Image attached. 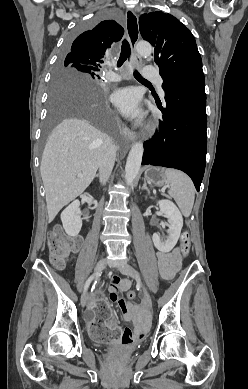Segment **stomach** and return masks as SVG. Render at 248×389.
Here are the masks:
<instances>
[{
  "label": "stomach",
  "instance_id": "stomach-1",
  "mask_svg": "<svg viewBox=\"0 0 248 389\" xmlns=\"http://www.w3.org/2000/svg\"><path fill=\"white\" fill-rule=\"evenodd\" d=\"M165 169L160 167H147L144 173L145 179L156 187H163L167 184Z\"/></svg>",
  "mask_w": 248,
  "mask_h": 389
}]
</instances>
